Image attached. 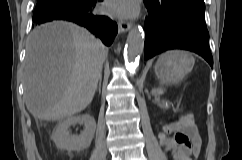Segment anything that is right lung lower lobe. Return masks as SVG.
<instances>
[{
    "label": "right lung lower lobe",
    "instance_id": "98d812e1",
    "mask_svg": "<svg viewBox=\"0 0 242 160\" xmlns=\"http://www.w3.org/2000/svg\"><path fill=\"white\" fill-rule=\"evenodd\" d=\"M95 3L96 0H49L37 4L33 22L40 25L53 20L72 21L87 28L109 46L118 32V26L107 16L94 15Z\"/></svg>",
    "mask_w": 242,
    "mask_h": 160
}]
</instances>
